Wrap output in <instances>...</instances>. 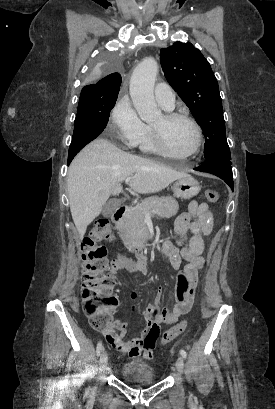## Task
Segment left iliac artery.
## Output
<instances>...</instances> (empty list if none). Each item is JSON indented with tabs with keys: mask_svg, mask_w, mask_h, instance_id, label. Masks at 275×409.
Instances as JSON below:
<instances>
[{
	"mask_svg": "<svg viewBox=\"0 0 275 409\" xmlns=\"http://www.w3.org/2000/svg\"><path fill=\"white\" fill-rule=\"evenodd\" d=\"M180 355H181L184 359L187 358V353H186V351H185L184 349H181V350H180Z\"/></svg>",
	"mask_w": 275,
	"mask_h": 409,
	"instance_id": "1",
	"label": "left iliac artery"
}]
</instances>
